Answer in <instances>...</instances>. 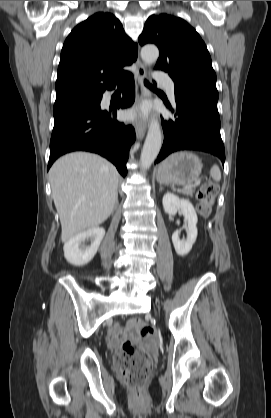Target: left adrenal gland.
Segmentation results:
<instances>
[{
  "mask_svg": "<svg viewBox=\"0 0 271 418\" xmlns=\"http://www.w3.org/2000/svg\"><path fill=\"white\" fill-rule=\"evenodd\" d=\"M163 190V187L160 185V189H159V191H162Z\"/></svg>",
  "mask_w": 271,
  "mask_h": 418,
  "instance_id": "obj_1",
  "label": "left adrenal gland"
}]
</instances>
